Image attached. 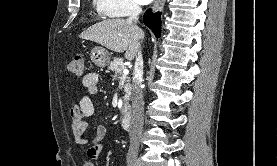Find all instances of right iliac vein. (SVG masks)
Segmentation results:
<instances>
[{"label":"right iliac vein","instance_id":"1","mask_svg":"<svg viewBox=\"0 0 277 166\" xmlns=\"http://www.w3.org/2000/svg\"><path fill=\"white\" fill-rule=\"evenodd\" d=\"M127 166H138V163L130 161Z\"/></svg>","mask_w":277,"mask_h":166}]
</instances>
